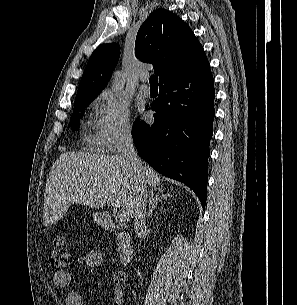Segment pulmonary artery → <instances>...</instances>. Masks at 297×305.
Returning a JSON list of instances; mask_svg holds the SVG:
<instances>
[{
	"mask_svg": "<svg viewBox=\"0 0 297 305\" xmlns=\"http://www.w3.org/2000/svg\"><path fill=\"white\" fill-rule=\"evenodd\" d=\"M148 73H142L140 75V81L142 82V84L139 86V92L141 95L148 97L151 93L150 87L146 84H144V82H146L148 80Z\"/></svg>",
	"mask_w": 297,
	"mask_h": 305,
	"instance_id": "e3ab8cb5",
	"label": "pulmonary artery"
}]
</instances>
